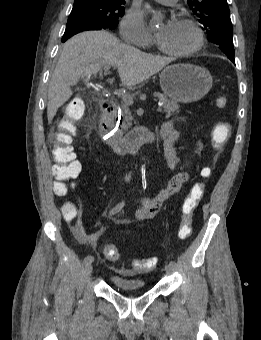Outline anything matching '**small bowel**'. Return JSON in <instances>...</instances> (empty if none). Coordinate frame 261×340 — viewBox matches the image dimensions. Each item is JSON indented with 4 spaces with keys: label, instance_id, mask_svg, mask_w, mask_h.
Segmentation results:
<instances>
[{
    "label": "small bowel",
    "instance_id": "obj_1",
    "mask_svg": "<svg viewBox=\"0 0 261 340\" xmlns=\"http://www.w3.org/2000/svg\"><path fill=\"white\" fill-rule=\"evenodd\" d=\"M179 133L175 129L173 123H166L162 126L159 137L163 143L164 158L168 166L175 171V174L168 181L165 188H163L153 198H142L140 200V207L135 213V218L138 220L153 218L161 209L164 202L176 195L182 186L188 181L189 175L187 172L182 171L178 167L179 159L174 146L175 141L178 139ZM130 175L127 176V179ZM75 212L72 215L63 213L66 221L71 223V229L79 242L94 246L98 240L103 236L105 228L99 226L97 230L91 234L85 231L82 224V212L79 206H75ZM118 213V212H117ZM116 214V213H115ZM112 216V215H111ZM119 216V214H117Z\"/></svg>",
    "mask_w": 261,
    "mask_h": 340
}]
</instances>
